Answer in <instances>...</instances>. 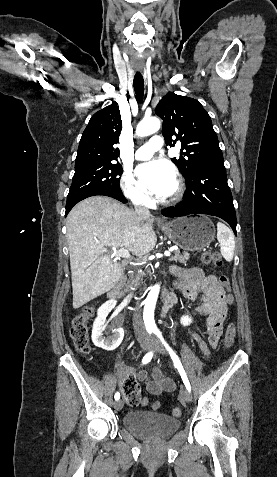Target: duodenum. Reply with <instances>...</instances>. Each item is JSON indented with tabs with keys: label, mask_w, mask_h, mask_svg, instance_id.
<instances>
[{
	"label": "duodenum",
	"mask_w": 277,
	"mask_h": 477,
	"mask_svg": "<svg viewBox=\"0 0 277 477\" xmlns=\"http://www.w3.org/2000/svg\"><path fill=\"white\" fill-rule=\"evenodd\" d=\"M122 281L123 279L121 278L119 282L108 291L107 295L111 300L120 301L121 299L120 288H121ZM175 303H176V297L173 294L166 295L163 302V311L164 312L168 311V309L172 307Z\"/></svg>",
	"instance_id": "obj_1"
}]
</instances>
